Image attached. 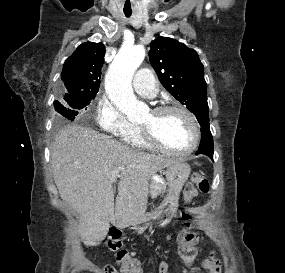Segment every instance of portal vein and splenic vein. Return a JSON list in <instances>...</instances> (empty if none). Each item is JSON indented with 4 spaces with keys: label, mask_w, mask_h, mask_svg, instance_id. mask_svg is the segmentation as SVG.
I'll return each mask as SVG.
<instances>
[{
    "label": "portal vein and splenic vein",
    "mask_w": 285,
    "mask_h": 273,
    "mask_svg": "<svg viewBox=\"0 0 285 273\" xmlns=\"http://www.w3.org/2000/svg\"><path fill=\"white\" fill-rule=\"evenodd\" d=\"M119 172H120L119 169L112 170V172H111V181L112 182H115L116 179L119 178Z\"/></svg>",
    "instance_id": "obj_1"
}]
</instances>
